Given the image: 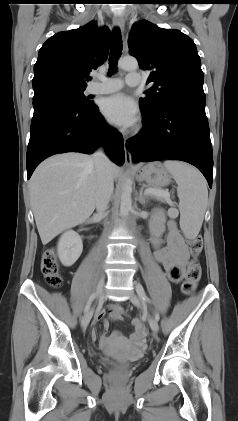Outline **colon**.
Wrapping results in <instances>:
<instances>
[{
    "mask_svg": "<svg viewBox=\"0 0 238 421\" xmlns=\"http://www.w3.org/2000/svg\"><path fill=\"white\" fill-rule=\"evenodd\" d=\"M188 243L191 248L194 259L191 260L187 267L185 280L182 284V292L185 295L191 294L200 280L201 277V266L197 262L196 257L202 250V238L200 236L191 237L188 239ZM42 273L47 283L52 287H59L62 283V277L60 274V267L53 250H47L41 261Z\"/></svg>",
    "mask_w": 238,
    "mask_h": 421,
    "instance_id": "1",
    "label": "colon"
}]
</instances>
